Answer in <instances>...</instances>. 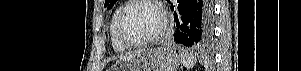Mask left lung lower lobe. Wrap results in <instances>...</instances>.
Segmentation results:
<instances>
[{"mask_svg": "<svg viewBox=\"0 0 301 71\" xmlns=\"http://www.w3.org/2000/svg\"><path fill=\"white\" fill-rule=\"evenodd\" d=\"M177 2L178 8L174 12L175 42L199 48L210 44L213 36L211 1L177 0ZM171 7L174 9L173 5Z\"/></svg>", "mask_w": 301, "mask_h": 71, "instance_id": "1", "label": "left lung lower lobe"}]
</instances>
